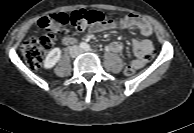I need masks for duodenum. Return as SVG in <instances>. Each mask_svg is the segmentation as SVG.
Masks as SVG:
<instances>
[{
	"mask_svg": "<svg viewBox=\"0 0 194 133\" xmlns=\"http://www.w3.org/2000/svg\"><path fill=\"white\" fill-rule=\"evenodd\" d=\"M62 42L66 45H70V44H73L75 42V39L72 38V37H64L62 39Z\"/></svg>",
	"mask_w": 194,
	"mask_h": 133,
	"instance_id": "obj_1",
	"label": "duodenum"
}]
</instances>
